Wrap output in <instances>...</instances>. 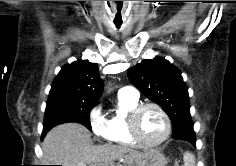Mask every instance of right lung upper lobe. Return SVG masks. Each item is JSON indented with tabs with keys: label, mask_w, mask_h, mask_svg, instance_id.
Listing matches in <instances>:
<instances>
[{
	"label": "right lung upper lobe",
	"mask_w": 236,
	"mask_h": 166,
	"mask_svg": "<svg viewBox=\"0 0 236 166\" xmlns=\"http://www.w3.org/2000/svg\"><path fill=\"white\" fill-rule=\"evenodd\" d=\"M102 90L98 64L78 60L62 67L52 83L48 100L65 98L96 103Z\"/></svg>",
	"instance_id": "cb5924a9"
}]
</instances>
